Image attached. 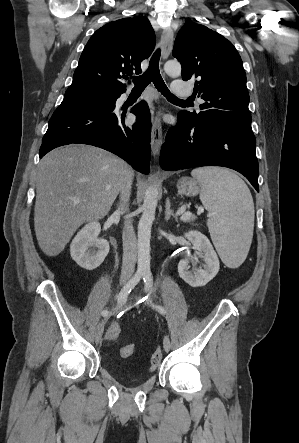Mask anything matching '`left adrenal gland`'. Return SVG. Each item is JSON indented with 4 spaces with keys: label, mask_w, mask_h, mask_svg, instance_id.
Listing matches in <instances>:
<instances>
[{
    "label": "left adrenal gland",
    "mask_w": 299,
    "mask_h": 443,
    "mask_svg": "<svg viewBox=\"0 0 299 443\" xmlns=\"http://www.w3.org/2000/svg\"><path fill=\"white\" fill-rule=\"evenodd\" d=\"M173 217L177 221V216L174 214L173 210H171V204L170 200H166V206H165V220L168 221L170 218Z\"/></svg>",
    "instance_id": "left-adrenal-gland-1"
}]
</instances>
